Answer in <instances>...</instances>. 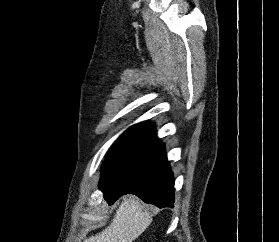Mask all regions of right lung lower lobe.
Listing matches in <instances>:
<instances>
[{
    "label": "right lung lower lobe",
    "mask_w": 279,
    "mask_h": 242,
    "mask_svg": "<svg viewBox=\"0 0 279 242\" xmlns=\"http://www.w3.org/2000/svg\"><path fill=\"white\" fill-rule=\"evenodd\" d=\"M174 177L164 144L155 136L107 179L99 183L109 205L125 194H135L159 208L174 205Z\"/></svg>",
    "instance_id": "1"
}]
</instances>
